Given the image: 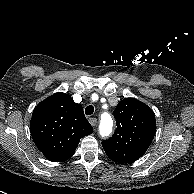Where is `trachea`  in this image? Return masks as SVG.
<instances>
[{
	"label": "trachea",
	"instance_id": "trachea-1",
	"mask_svg": "<svg viewBox=\"0 0 194 194\" xmlns=\"http://www.w3.org/2000/svg\"><path fill=\"white\" fill-rule=\"evenodd\" d=\"M94 112V107L92 105H89L85 108L86 115H92Z\"/></svg>",
	"mask_w": 194,
	"mask_h": 194
}]
</instances>
